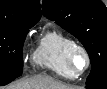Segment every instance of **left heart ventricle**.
Returning <instances> with one entry per match:
<instances>
[{
    "label": "left heart ventricle",
    "instance_id": "1",
    "mask_svg": "<svg viewBox=\"0 0 107 89\" xmlns=\"http://www.w3.org/2000/svg\"><path fill=\"white\" fill-rule=\"evenodd\" d=\"M84 58L82 55L77 54L74 58V67L76 70H81L84 67Z\"/></svg>",
    "mask_w": 107,
    "mask_h": 89
}]
</instances>
